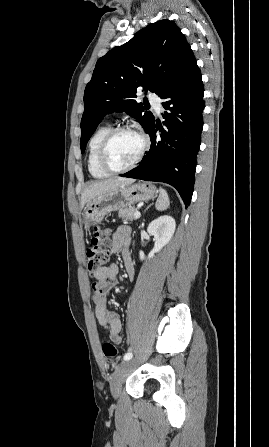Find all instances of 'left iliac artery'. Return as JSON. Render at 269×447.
I'll return each mask as SVG.
<instances>
[{
  "label": "left iliac artery",
  "instance_id": "left-iliac-artery-1",
  "mask_svg": "<svg viewBox=\"0 0 269 447\" xmlns=\"http://www.w3.org/2000/svg\"><path fill=\"white\" fill-rule=\"evenodd\" d=\"M132 358V353H126L125 355H124V360H129V359H131Z\"/></svg>",
  "mask_w": 269,
  "mask_h": 447
}]
</instances>
